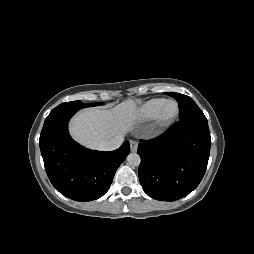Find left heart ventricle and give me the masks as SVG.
<instances>
[{"label": "left heart ventricle", "instance_id": "obj_1", "mask_svg": "<svg viewBox=\"0 0 254 254\" xmlns=\"http://www.w3.org/2000/svg\"><path fill=\"white\" fill-rule=\"evenodd\" d=\"M174 111H175V105L174 104L169 105L167 108V115H172Z\"/></svg>", "mask_w": 254, "mask_h": 254}]
</instances>
